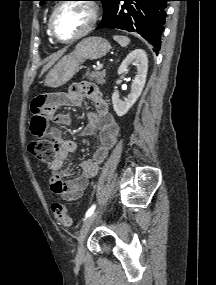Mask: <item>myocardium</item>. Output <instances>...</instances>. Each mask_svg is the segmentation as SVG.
<instances>
[{"mask_svg": "<svg viewBox=\"0 0 216 285\" xmlns=\"http://www.w3.org/2000/svg\"><path fill=\"white\" fill-rule=\"evenodd\" d=\"M71 3H79L87 6L90 11H91V19L88 25L77 35L68 38V39H61L59 38L55 31H54V19L58 11L64 7L65 5L71 4ZM99 18V8L95 2H92L91 0H65L61 3H59L54 10L52 11L49 21H48V30L51 38L55 40L56 42L63 43V44H68V43H73L75 41H78L82 39L83 37L87 36L96 26L97 21Z\"/></svg>", "mask_w": 216, "mask_h": 285, "instance_id": "obj_1", "label": "myocardium"}]
</instances>
